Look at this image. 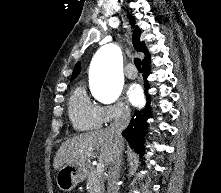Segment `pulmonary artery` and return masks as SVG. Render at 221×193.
Wrapping results in <instances>:
<instances>
[{"label":"pulmonary artery","mask_w":221,"mask_h":193,"mask_svg":"<svg viewBox=\"0 0 221 193\" xmlns=\"http://www.w3.org/2000/svg\"><path fill=\"white\" fill-rule=\"evenodd\" d=\"M125 76L129 79H135L137 77V71L134 69L132 64H129L124 72Z\"/></svg>","instance_id":"obj_1"}]
</instances>
